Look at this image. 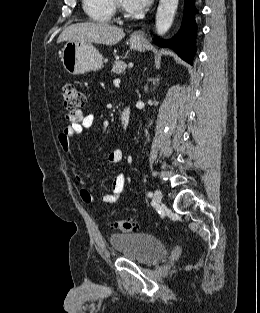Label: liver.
I'll use <instances>...</instances> for the list:
<instances>
[{"instance_id":"1","label":"liver","mask_w":260,"mask_h":313,"mask_svg":"<svg viewBox=\"0 0 260 313\" xmlns=\"http://www.w3.org/2000/svg\"><path fill=\"white\" fill-rule=\"evenodd\" d=\"M124 36L125 33L122 28L103 22H84L76 23L65 28L59 35L57 43L63 41H78L83 43L114 45Z\"/></svg>"}]
</instances>
